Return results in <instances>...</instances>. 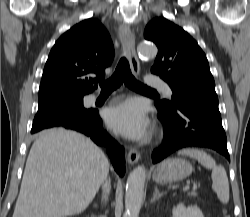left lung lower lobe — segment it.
<instances>
[{
    "label": "left lung lower lobe",
    "instance_id": "obj_1",
    "mask_svg": "<svg viewBox=\"0 0 250 217\" xmlns=\"http://www.w3.org/2000/svg\"><path fill=\"white\" fill-rule=\"evenodd\" d=\"M155 105L164 126V144L153 151V163L187 147L211 148L230 160L218 97L189 98L180 102L174 110H166L157 103Z\"/></svg>",
    "mask_w": 250,
    "mask_h": 217
}]
</instances>
